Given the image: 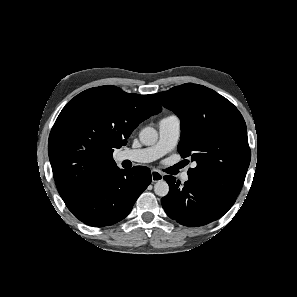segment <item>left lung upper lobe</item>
Instances as JSON below:
<instances>
[{
    "label": "left lung upper lobe",
    "mask_w": 297,
    "mask_h": 297,
    "mask_svg": "<svg viewBox=\"0 0 297 297\" xmlns=\"http://www.w3.org/2000/svg\"><path fill=\"white\" fill-rule=\"evenodd\" d=\"M155 97L181 120L178 152L197 164L188 170L189 180L234 204L251 158L241 113L214 90L193 83Z\"/></svg>",
    "instance_id": "obj_1"
}]
</instances>
